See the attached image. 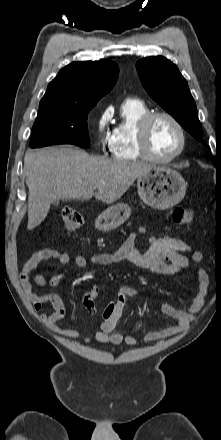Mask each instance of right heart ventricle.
<instances>
[{
	"instance_id": "obj_1",
	"label": "right heart ventricle",
	"mask_w": 221,
	"mask_h": 440,
	"mask_svg": "<svg viewBox=\"0 0 221 440\" xmlns=\"http://www.w3.org/2000/svg\"><path fill=\"white\" fill-rule=\"evenodd\" d=\"M149 112L148 106L139 99L129 98L122 103L121 120L112 132L109 145L113 158L117 160L143 158L137 143V126Z\"/></svg>"
}]
</instances>
